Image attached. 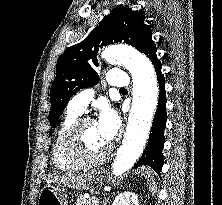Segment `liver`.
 <instances>
[{"instance_id":"6515ba94","label":"liver","mask_w":222,"mask_h":205,"mask_svg":"<svg viewBox=\"0 0 222 205\" xmlns=\"http://www.w3.org/2000/svg\"><path fill=\"white\" fill-rule=\"evenodd\" d=\"M92 180V173L86 174H68L62 176H55L49 180L51 183L63 184L66 187L76 189V190H85L89 187Z\"/></svg>"}]
</instances>
